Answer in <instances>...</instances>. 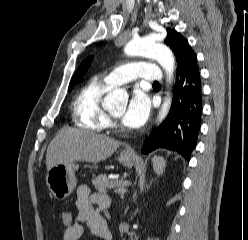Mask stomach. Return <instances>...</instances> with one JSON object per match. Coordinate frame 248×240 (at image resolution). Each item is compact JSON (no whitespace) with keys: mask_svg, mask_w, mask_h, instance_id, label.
<instances>
[{"mask_svg":"<svg viewBox=\"0 0 248 240\" xmlns=\"http://www.w3.org/2000/svg\"><path fill=\"white\" fill-rule=\"evenodd\" d=\"M135 160L134 153L122 152L119 157V161L127 167H132ZM76 169H78V165L70 162L58 163L48 170L46 184L56 199L63 200L73 192L76 186Z\"/></svg>","mask_w":248,"mask_h":240,"instance_id":"0dacf381","label":"stomach"}]
</instances>
